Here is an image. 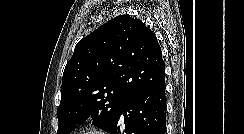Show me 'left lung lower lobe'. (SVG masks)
I'll use <instances>...</instances> for the list:
<instances>
[{
    "label": "left lung lower lobe",
    "instance_id": "obj_1",
    "mask_svg": "<svg viewBox=\"0 0 244 134\" xmlns=\"http://www.w3.org/2000/svg\"><path fill=\"white\" fill-rule=\"evenodd\" d=\"M124 117V126L120 119ZM165 134V85L134 93L120 105L109 134Z\"/></svg>",
    "mask_w": 244,
    "mask_h": 134
}]
</instances>
